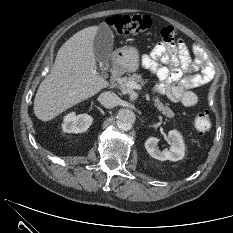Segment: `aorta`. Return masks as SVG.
Masks as SVG:
<instances>
[{"mask_svg": "<svg viewBox=\"0 0 233 233\" xmlns=\"http://www.w3.org/2000/svg\"><path fill=\"white\" fill-rule=\"evenodd\" d=\"M135 114L132 110L121 109L117 114V126L121 130L128 131L135 122Z\"/></svg>", "mask_w": 233, "mask_h": 233, "instance_id": "aorta-1", "label": "aorta"}]
</instances>
